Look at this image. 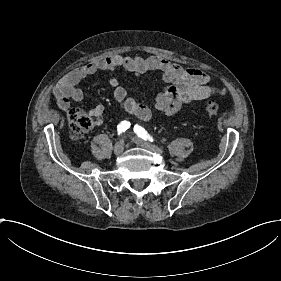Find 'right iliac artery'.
<instances>
[{
	"instance_id": "1",
	"label": "right iliac artery",
	"mask_w": 281,
	"mask_h": 281,
	"mask_svg": "<svg viewBox=\"0 0 281 281\" xmlns=\"http://www.w3.org/2000/svg\"><path fill=\"white\" fill-rule=\"evenodd\" d=\"M130 127V122L128 121H122L118 126H117V130H118V135L122 132H125V130H127Z\"/></svg>"
}]
</instances>
